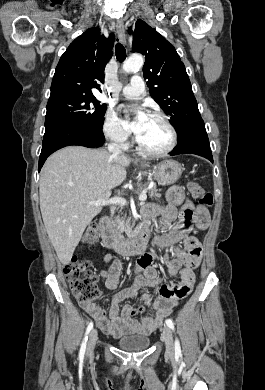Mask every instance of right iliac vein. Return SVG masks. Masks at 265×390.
I'll use <instances>...</instances> for the list:
<instances>
[{"instance_id":"right-iliac-vein-1","label":"right iliac vein","mask_w":265,"mask_h":390,"mask_svg":"<svg viewBox=\"0 0 265 390\" xmlns=\"http://www.w3.org/2000/svg\"><path fill=\"white\" fill-rule=\"evenodd\" d=\"M98 338V333L96 329H92V331L89 334L88 344H87V355H92L96 342Z\"/></svg>"}]
</instances>
